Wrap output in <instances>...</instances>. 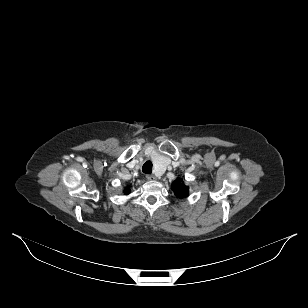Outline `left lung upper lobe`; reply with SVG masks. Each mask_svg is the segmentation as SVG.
I'll use <instances>...</instances> for the list:
<instances>
[{"mask_svg": "<svg viewBox=\"0 0 308 308\" xmlns=\"http://www.w3.org/2000/svg\"><path fill=\"white\" fill-rule=\"evenodd\" d=\"M182 182V179H177L172 183L173 191L180 198L187 196L189 192V188L185 186Z\"/></svg>", "mask_w": 308, "mask_h": 308, "instance_id": "left-lung-upper-lobe-1", "label": "left lung upper lobe"}]
</instances>
